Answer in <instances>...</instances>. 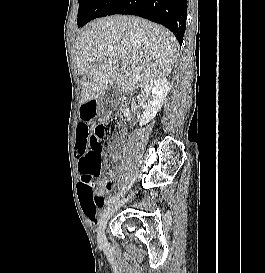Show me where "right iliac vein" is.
<instances>
[{
    "instance_id": "1",
    "label": "right iliac vein",
    "mask_w": 265,
    "mask_h": 273,
    "mask_svg": "<svg viewBox=\"0 0 265 273\" xmlns=\"http://www.w3.org/2000/svg\"><path fill=\"white\" fill-rule=\"evenodd\" d=\"M130 199V196H128L127 198L118 201L112 205H109L102 213L101 218L99 220V225H98V229H97V240H98V244L101 247H106L108 245V241L105 235V228L107 225L108 220L110 219V217H112L114 215V213L121 207L123 206L126 202H128Z\"/></svg>"
}]
</instances>
